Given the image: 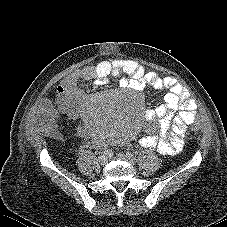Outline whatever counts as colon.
I'll return each mask as SVG.
<instances>
[{"instance_id":"colon-1","label":"colon","mask_w":227,"mask_h":227,"mask_svg":"<svg viewBox=\"0 0 227 227\" xmlns=\"http://www.w3.org/2000/svg\"><path fill=\"white\" fill-rule=\"evenodd\" d=\"M185 138L189 143L195 144L199 141L200 136L197 132L190 130L186 133Z\"/></svg>"}]
</instances>
